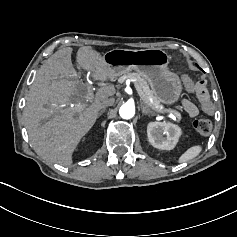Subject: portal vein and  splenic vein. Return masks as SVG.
I'll return each mask as SVG.
<instances>
[{"label":"portal vein and splenic vein","instance_id":"18ae733b","mask_svg":"<svg viewBox=\"0 0 237 237\" xmlns=\"http://www.w3.org/2000/svg\"><path fill=\"white\" fill-rule=\"evenodd\" d=\"M135 86V88L137 89V92L140 94L142 100L145 102V104L150 108V109H153L155 110L156 112H171L173 113V115L180 121V122H183V115L182 113L180 112H177L175 110H172V109H158L157 107H152L147 101V98L145 96V94L142 92V89L141 87L135 82L133 84Z\"/></svg>","mask_w":237,"mask_h":237}]
</instances>
